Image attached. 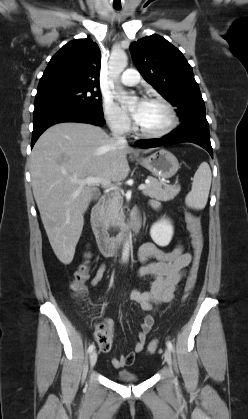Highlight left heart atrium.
<instances>
[{
    "label": "left heart atrium",
    "instance_id": "left-heart-atrium-1",
    "mask_svg": "<svg viewBox=\"0 0 248 419\" xmlns=\"http://www.w3.org/2000/svg\"><path fill=\"white\" fill-rule=\"evenodd\" d=\"M145 103H146V101H145V100H141V101L137 104V106H136V108H135V110H134V112H133V117H134V119H135L136 121L140 118V116H141V113H142V110H143V107H144Z\"/></svg>",
    "mask_w": 248,
    "mask_h": 419
}]
</instances>
